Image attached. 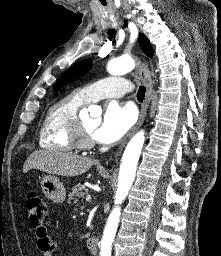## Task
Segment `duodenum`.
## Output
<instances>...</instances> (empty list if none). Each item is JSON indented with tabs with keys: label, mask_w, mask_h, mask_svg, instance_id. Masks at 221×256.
<instances>
[{
	"label": "duodenum",
	"mask_w": 221,
	"mask_h": 256,
	"mask_svg": "<svg viewBox=\"0 0 221 256\" xmlns=\"http://www.w3.org/2000/svg\"><path fill=\"white\" fill-rule=\"evenodd\" d=\"M87 247L91 254L96 255L98 253V239L96 237H90L87 240Z\"/></svg>",
	"instance_id": "1"
}]
</instances>
